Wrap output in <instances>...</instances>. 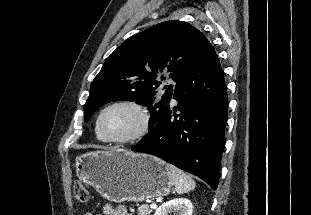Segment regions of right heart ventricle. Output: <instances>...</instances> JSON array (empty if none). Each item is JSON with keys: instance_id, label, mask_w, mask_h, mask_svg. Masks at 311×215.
Segmentation results:
<instances>
[{"instance_id": "obj_1", "label": "right heart ventricle", "mask_w": 311, "mask_h": 215, "mask_svg": "<svg viewBox=\"0 0 311 215\" xmlns=\"http://www.w3.org/2000/svg\"><path fill=\"white\" fill-rule=\"evenodd\" d=\"M95 131H96V137H97V139L100 140V141H104V140L102 139V137L99 135V133H98V131H97V128L95 129Z\"/></svg>"}]
</instances>
